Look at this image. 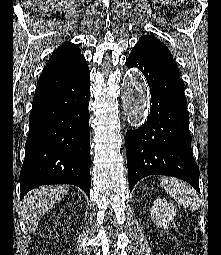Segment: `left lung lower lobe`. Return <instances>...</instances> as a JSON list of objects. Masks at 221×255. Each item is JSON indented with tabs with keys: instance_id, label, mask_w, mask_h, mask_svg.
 <instances>
[{
	"instance_id": "0a47b994",
	"label": "left lung lower lobe",
	"mask_w": 221,
	"mask_h": 255,
	"mask_svg": "<svg viewBox=\"0 0 221 255\" xmlns=\"http://www.w3.org/2000/svg\"><path fill=\"white\" fill-rule=\"evenodd\" d=\"M125 64L142 71L152 103L145 123L126 133L130 191L143 177L159 174L178 177L199 192V169L192 155L187 100L179 74L137 48Z\"/></svg>"
}]
</instances>
